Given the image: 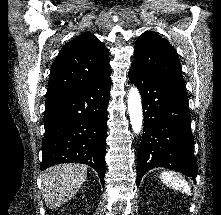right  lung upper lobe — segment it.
<instances>
[{
	"label": "right lung upper lobe",
	"instance_id": "cb5924a9",
	"mask_svg": "<svg viewBox=\"0 0 221 215\" xmlns=\"http://www.w3.org/2000/svg\"><path fill=\"white\" fill-rule=\"evenodd\" d=\"M110 74L108 50L93 34L83 33L68 42L54 61L46 103L68 96Z\"/></svg>",
	"mask_w": 221,
	"mask_h": 215
}]
</instances>
